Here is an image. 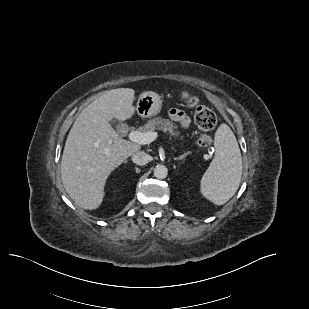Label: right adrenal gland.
<instances>
[{"label": "right adrenal gland", "instance_id": "right-adrenal-gland-1", "mask_svg": "<svg viewBox=\"0 0 309 309\" xmlns=\"http://www.w3.org/2000/svg\"><path fill=\"white\" fill-rule=\"evenodd\" d=\"M127 162H128L127 160L124 161V163H127Z\"/></svg>", "mask_w": 309, "mask_h": 309}]
</instances>
